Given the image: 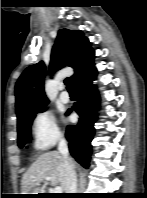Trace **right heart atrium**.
I'll return each mask as SVG.
<instances>
[{"label": "right heart atrium", "mask_w": 147, "mask_h": 198, "mask_svg": "<svg viewBox=\"0 0 147 198\" xmlns=\"http://www.w3.org/2000/svg\"><path fill=\"white\" fill-rule=\"evenodd\" d=\"M34 148L44 151L63 139L54 115L50 111H41L35 115L32 122Z\"/></svg>", "instance_id": "obj_1"}]
</instances>
